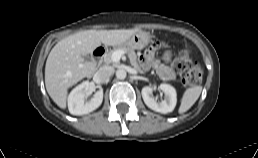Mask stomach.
<instances>
[{
    "mask_svg": "<svg viewBox=\"0 0 258 158\" xmlns=\"http://www.w3.org/2000/svg\"><path fill=\"white\" fill-rule=\"evenodd\" d=\"M150 34L145 31H138L133 34L127 41L116 47H129L132 49H143L150 42Z\"/></svg>",
    "mask_w": 258,
    "mask_h": 158,
    "instance_id": "1",
    "label": "stomach"
}]
</instances>
